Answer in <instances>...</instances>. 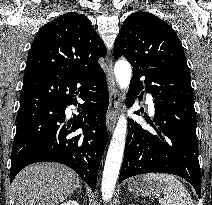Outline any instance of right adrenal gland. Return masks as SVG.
<instances>
[{
	"label": "right adrenal gland",
	"instance_id": "1",
	"mask_svg": "<svg viewBox=\"0 0 212 205\" xmlns=\"http://www.w3.org/2000/svg\"><path fill=\"white\" fill-rule=\"evenodd\" d=\"M77 188L80 189V190L82 189V186L79 184V181H77V185H76V188L74 190L77 191Z\"/></svg>",
	"mask_w": 212,
	"mask_h": 205
}]
</instances>
